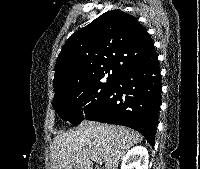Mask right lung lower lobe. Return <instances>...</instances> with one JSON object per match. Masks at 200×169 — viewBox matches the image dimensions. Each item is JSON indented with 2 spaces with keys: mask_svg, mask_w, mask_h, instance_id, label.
Listing matches in <instances>:
<instances>
[{
  "mask_svg": "<svg viewBox=\"0 0 200 169\" xmlns=\"http://www.w3.org/2000/svg\"><path fill=\"white\" fill-rule=\"evenodd\" d=\"M160 103L161 74L156 59L117 77L103 105L85 119L133 128L153 147Z\"/></svg>",
  "mask_w": 200,
  "mask_h": 169,
  "instance_id": "right-lung-lower-lobe-1",
  "label": "right lung lower lobe"
}]
</instances>
